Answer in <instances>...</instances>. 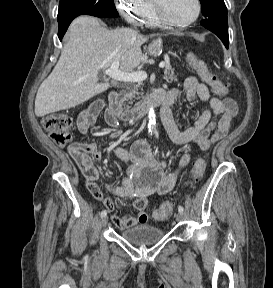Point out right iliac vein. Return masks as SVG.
Wrapping results in <instances>:
<instances>
[{
  "instance_id": "obj_1",
  "label": "right iliac vein",
  "mask_w": 273,
  "mask_h": 288,
  "mask_svg": "<svg viewBox=\"0 0 273 288\" xmlns=\"http://www.w3.org/2000/svg\"><path fill=\"white\" fill-rule=\"evenodd\" d=\"M107 223H108V218H107V217H104V218L102 219V221H101L102 227H105V226L107 225Z\"/></svg>"
}]
</instances>
